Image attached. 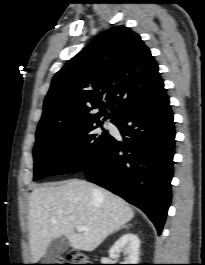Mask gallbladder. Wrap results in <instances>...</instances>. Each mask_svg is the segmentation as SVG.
<instances>
[{
	"label": "gallbladder",
	"mask_w": 205,
	"mask_h": 265,
	"mask_svg": "<svg viewBox=\"0 0 205 265\" xmlns=\"http://www.w3.org/2000/svg\"><path fill=\"white\" fill-rule=\"evenodd\" d=\"M69 241L64 237L53 239L46 248L43 261L48 264L60 257L69 248Z\"/></svg>",
	"instance_id": "gallbladder-1"
}]
</instances>
